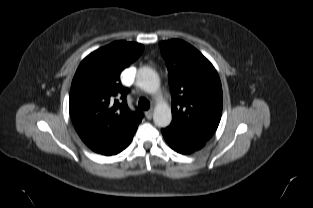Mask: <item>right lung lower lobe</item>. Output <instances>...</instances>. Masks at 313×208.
<instances>
[{"label": "right lung lower lobe", "mask_w": 313, "mask_h": 208, "mask_svg": "<svg viewBox=\"0 0 313 208\" xmlns=\"http://www.w3.org/2000/svg\"><path fill=\"white\" fill-rule=\"evenodd\" d=\"M133 135L120 137L114 135L105 136H80L83 142L94 152L103 155H115L125 149L131 142Z\"/></svg>", "instance_id": "right-lung-lower-lobe-1"}]
</instances>
